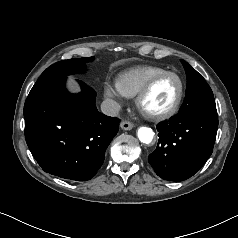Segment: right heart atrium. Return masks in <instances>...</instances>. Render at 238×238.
I'll return each mask as SVG.
<instances>
[{"instance_id":"obj_1","label":"right heart atrium","mask_w":238,"mask_h":238,"mask_svg":"<svg viewBox=\"0 0 238 238\" xmlns=\"http://www.w3.org/2000/svg\"><path fill=\"white\" fill-rule=\"evenodd\" d=\"M103 92L106 98L112 100L117 105H121L125 99V95L116 82H105Z\"/></svg>"}]
</instances>
